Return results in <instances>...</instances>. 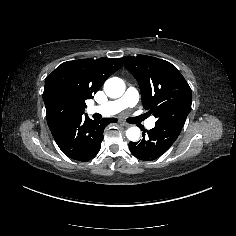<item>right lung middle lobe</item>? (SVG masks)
I'll use <instances>...</instances> for the list:
<instances>
[{"mask_svg": "<svg viewBox=\"0 0 236 236\" xmlns=\"http://www.w3.org/2000/svg\"><path fill=\"white\" fill-rule=\"evenodd\" d=\"M46 117H47V122L49 124L50 122L68 119L71 117V113H68L66 111H61L55 105H50L48 108H46Z\"/></svg>", "mask_w": 236, "mask_h": 236, "instance_id": "obj_1", "label": "right lung middle lobe"}]
</instances>
